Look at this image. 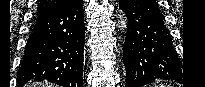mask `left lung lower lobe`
<instances>
[{"instance_id":"obj_1","label":"left lung lower lobe","mask_w":205,"mask_h":87,"mask_svg":"<svg viewBox=\"0 0 205 87\" xmlns=\"http://www.w3.org/2000/svg\"><path fill=\"white\" fill-rule=\"evenodd\" d=\"M128 18L123 48L126 87L177 79L181 63L156 0H119Z\"/></svg>"}]
</instances>
